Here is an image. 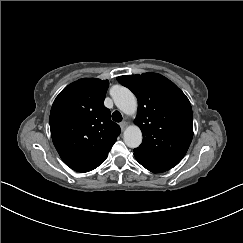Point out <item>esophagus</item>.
Masks as SVG:
<instances>
[{"label":"esophagus","mask_w":243,"mask_h":243,"mask_svg":"<svg viewBox=\"0 0 243 243\" xmlns=\"http://www.w3.org/2000/svg\"><path fill=\"white\" fill-rule=\"evenodd\" d=\"M127 126V122L126 121H123L120 123V127H121V130L123 131Z\"/></svg>","instance_id":"obj_1"}]
</instances>
